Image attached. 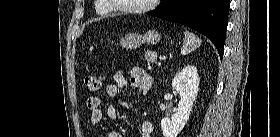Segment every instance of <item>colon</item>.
<instances>
[{"label":"colon","mask_w":280,"mask_h":137,"mask_svg":"<svg viewBox=\"0 0 280 137\" xmlns=\"http://www.w3.org/2000/svg\"><path fill=\"white\" fill-rule=\"evenodd\" d=\"M85 87L88 91L96 92L102 84V77L98 73L91 72L85 77Z\"/></svg>","instance_id":"1"}]
</instances>
